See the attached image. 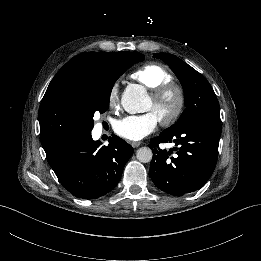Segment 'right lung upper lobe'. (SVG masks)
Instances as JSON below:
<instances>
[{"mask_svg":"<svg viewBox=\"0 0 261 261\" xmlns=\"http://www.w3.org/2000/svg\"><path fill=\"white\" fill-rule=\"evenodd\" d=\"M122 52H85L69 60L50 82L39 108L40 138L55 136L62 144L86 134L82 89L88 77L112 64Z\"/></svg>","mask_w":261,"mask_h":261,"instance_id":"1","label":"right lung upper lobe"}]
</instances>
